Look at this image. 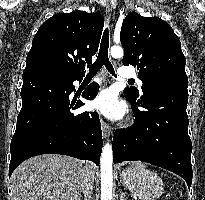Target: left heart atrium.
<instances>
[{"instance_id": "left-heart-atrium-1", "label": "left heart atrium", "mask_w": 205, "mask_h": 200, "mask_svg": "<svg viewBox=\"0 0 205 200\" xmlns=\"http://www.w3.org/2000/svg\"><path fill=\"white\" fill-rule=\"evenodd\" d=\"M93 106L98 112L111 119H121L126 110L113 88H107L99 92Z\"/></svg>"}]
</instances>
